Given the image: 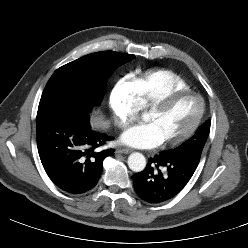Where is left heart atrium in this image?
Wrapping results in <instances>:
<instances>
[{"mask_svg":"<svg viewBox=\"0 0 248 248\" xmlns=\"http://www.w3.org/2000/svg\"><path fill=\"white\" fill-rule=\"evenodd\" d=\"M120 141L135 148H154L162 142L153 125L148 122L127 129Z\"/></svg>","mask_w":248,"mask_h":248,"instance_id":"39dd6f15","label":"left heart atrium"}]
</instances>
